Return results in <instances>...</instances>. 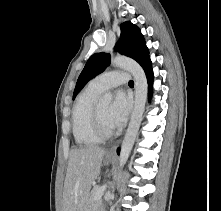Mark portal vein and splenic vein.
Wrapping results in <instances>:
<instances>
[{
    "mask_svg": "<svg viewBox=\"0 0 221 211\" xmlns=\"http://www.w3.org/2000/svg\"><path fill=\"white\" fill-rule=\"evenodd\" d=\"M106 184L105 185H103V186H101L100 188H98V190H97V192H96V194H95V200H99V199H101V197L103 196V194H104V192H105V190H106Z\"/></svg>",
    "mask_w": 221,
    "mask_h": 211,
    "instance_id": "portal-vein-and-splenic-vein-1",
    "label": "portal vein and splenic vein"
}]
</instances>
